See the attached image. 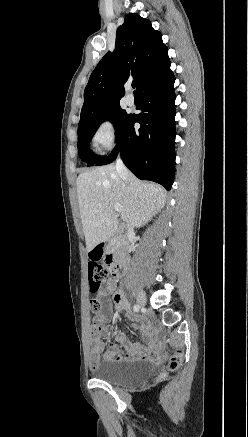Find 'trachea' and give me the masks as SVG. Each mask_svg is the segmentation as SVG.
Listing matches in <instances>:
<instances>
[{
  "instance_id": "trachea-1",
  "label": "trachea",
  "mask_w": 248,
  "mask_h": 437,
  "mask_svg": "<svg viewBox=\"0 0 248 437\" xmlns=\"http://www.w3.org/2000/svg\"><path fill=\"white\" fill-rule=\"evenodd\" d=\"M136 87L135 81L132 82V88L134 89Z\"/></svg>"
}]
</instances>
